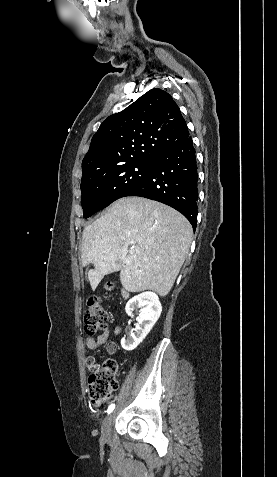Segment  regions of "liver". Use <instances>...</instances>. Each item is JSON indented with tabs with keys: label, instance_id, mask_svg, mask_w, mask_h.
Masks as SVG:
<instances>
[{
	"label": "liver",
	"instance_id": "obj_1",
	"mask_svg": "<svg viewBox=\"0 0 277 477\" xmlns=\"http://www.w3.org/2000/svg\"><path fill=\"white\" fill-rule=\"evenodd\" d=\"M189 221L163 203L142 197L115 201L82 234V264L94 265L88 280L95 289L102 278L120 270L129 292L152 290L166 296L192 242Z\"/></svg>",
	"mask_w": 277,
	"mask_h": 477
}]
</instances>
